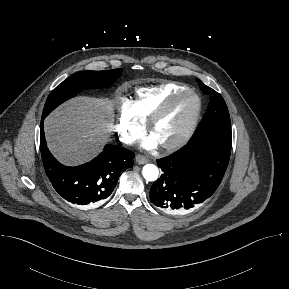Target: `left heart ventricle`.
Wrapping results in <instances>:
<instances>
[{"label":"left heart ventricle","mask_w":289,"mask_h":289,"mask_svg":"<svg viewBox=\"0 0 289 289\" xmlns=\"http://www.w3.org/2000/svg\"><path fill=\"white\" fill-rule=\"evenodd\" d=\"M194 105V100L190 96H184L177 100L170 110L154 125L151 137L158 144L176 139L187 125Z\"/></svg>","instance_id":"left-heart-ventricle-1"}]
</instances>
